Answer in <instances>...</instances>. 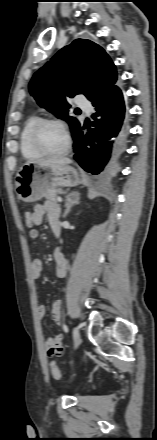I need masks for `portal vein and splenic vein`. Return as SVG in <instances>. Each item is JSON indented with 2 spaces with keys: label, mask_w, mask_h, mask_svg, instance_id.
<instances>
[{
  "label": "portal vein and splenic vein",
  "mask_w": 157,
  "mask_h": 440,
  "mask_svg": "<svg viewBox=\"0 0 157 440\" xmlns=\"http://www.w3.org/2000/svg\"><path fill=\"white\" fill-rule=\"evenodd\" d=\"M56 200H57L58 202H62V198H61V197H57Z\"/></svg>",
  "instance_id": "portal-vein-and-splenic-vein-1"
}]
</instances>
